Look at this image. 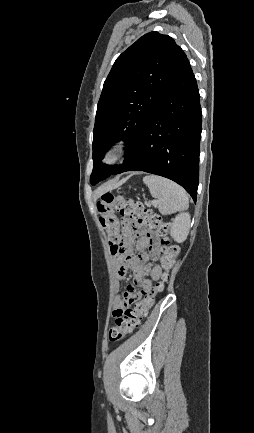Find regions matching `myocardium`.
<instances>
[{
    "label": "myocardium",
    "mask_w": 254,
    "mask_h": 433,
    "mask_svg": "<svg viewBox=\"0 0 254 433\" xmlns=\"http://www.w3.org/2000/svg\"><path fill=\"white\" fill-rule=\"evenodd\" d=\"M131 142L125 138L112 141L105 149L102 156V163L108 166L117 164L129 151Z\"/></svg>",
    "instance_id": "myocardium-1"
}]
</instances>
